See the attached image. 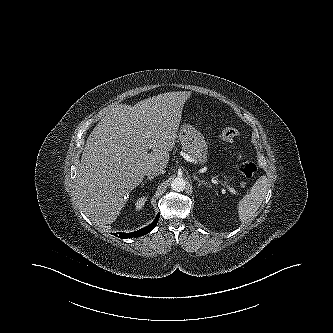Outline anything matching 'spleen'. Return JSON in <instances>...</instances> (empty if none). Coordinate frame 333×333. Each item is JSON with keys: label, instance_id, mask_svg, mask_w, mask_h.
<instances>
[{"label": "spleen", "instance_id": "3e777b00", "mask_svg": "<svg viewBox=\"0 0 333 333\" xmlns=\"http://www.w3.org/2000/svg\"><path fill=\"white\" fill-rule=\"evenodd\" d=\"M268 189L269 181L267 177H259L251 187L249 194L239 201L238 214L241 222L251 221L255 217V213L261 206Z\"/></svg>", "mask_w": 333, "mask_h": 333}]
</instances>
